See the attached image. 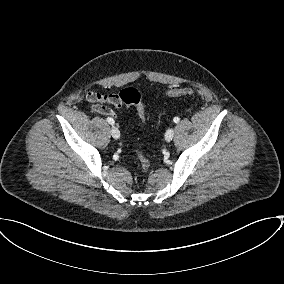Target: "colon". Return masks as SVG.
Instances as JSON below:
<instances>
[{
  "label": "colon",
  "instance_id": "colon-1",
  "mask_svg": "<svg viewBox=\"0 0 284 284\" xmlns=\"http://www.w3.org/2000/svg\"><path fill=\"white\" fill-rule=\"evenodd\" d=\"M194 91L191 88H177L169 91L167 93L168 97H179L185 95H192ZM120 100L123 102L124 105H133L136 108L137 114L142 122L145 120V110L144 106L141 101V96L138 90L135 88H125L119 94ZM137 157L140 161L141 168L143 171H147L150 167L149 159L144 156L141 151L138 149L136 150Z\"/></svg>",
  "mask_w": 284,
  "mask_h": 284
}]
</instances>
